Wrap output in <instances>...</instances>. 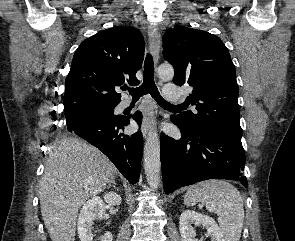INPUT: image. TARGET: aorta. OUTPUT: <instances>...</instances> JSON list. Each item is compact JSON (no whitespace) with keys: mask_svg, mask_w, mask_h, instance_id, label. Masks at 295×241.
Wrapping results in <instances>:
<instances>
[{"mask_svg":"<svg viewBox=\"0 0 295 241\" xmlns=\"http://www.w3.org/2000/svg\"><path fill=\"white\" fill-rule=\"evenodd\" d=\"M158 75L161 79L169 80L174 76V69L169 64L158 67ZM144 170L148 184L153 189L160 185V139L156 132L149 133L144 146Z\"/></svg>","mask_w":295,"mask_h":241,"instance_id":"obj_1","label":"aorta"}]
</instances>
